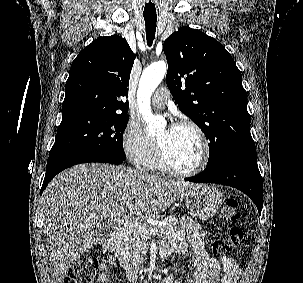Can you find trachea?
Instances as JSON below:
<instances>
[{"label": "trachea", "instance_id": "1", "mask_svg": "<svg viewBox=\"0 0 303 283\" xmlns=\"http://www.w3.org/2000/svg\"><path fill=\"white\" fill-rule=\"evenodd\" d=\"M146 24V39L148 46H151L156 32V16L143 15Z\"/></svg>", "mask_w": 303, "mask_h": 283}]
</instances>
